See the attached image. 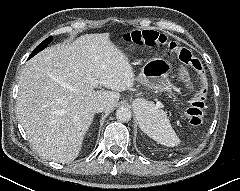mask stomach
<instances>
[{
	"label": "stomach",
	"mask_w": 240,
	"mask_h": 191,
	"mask_svg": "<svg viewBox=\"0 0 240 191\" xmlns=\"http://www.w3.org/2000/svg\"><path fill=\"white\" fill-rule=\"evenodd\" d=\"M171 71V64L162 58H153L148 60L135 78L137 82L150 89L160 91H170L172 83L168 78ZM145 113V110H137L139 123Z\"/></svg>",
	"instance_id": "1"
}]
</instances>
